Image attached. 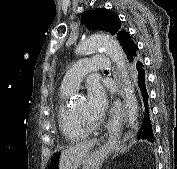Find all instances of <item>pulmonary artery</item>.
I'll return each mask as SVG.
<instances>
[{
	"instance_id": "e3ab8cb5",
	"label": "pulmonary artery",
	"mask_w": 177,
	"mask_h": 169,
	"mask_svg": "<svg viewBox=\"0 0 177 169\" xmlns=\"http://www.w3.org/2000/svg\"><path fill=\"white\" fill-rule=\"evenodd\" d=\"M110 65L111 61L106 56L83 58L74 63L66 72L61 89L65 91H76L85 74L104 71Z\"/></svg>"
}]
</instances>
